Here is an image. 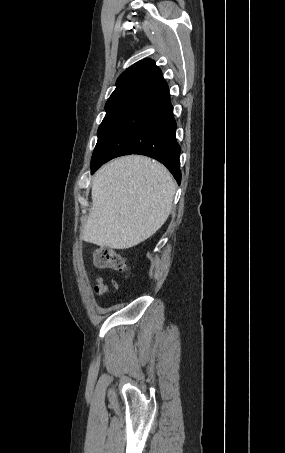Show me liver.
<instances>
[{
    "label": "liver",
    "mask_w": 285,
    "mask_h": 453,
    "mask_svg": "<svg viewBox=\"0 0 285 453\" xmlns=\"http://www.w3.org/2000/svg\"><path fill=\"white\" fill-rule=\"evenodd\" d=\"M174 194V180L159 162L137 155L112 160L92 180L81 238L118 250L136 246L165 223Z\"/></svg>",
    "instance_id": "6515ba94"
}]
</instances>
